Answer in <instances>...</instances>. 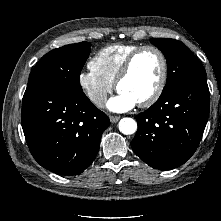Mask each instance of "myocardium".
Returning a JSON list of instances; mask_svg holds the SVG:
<instances>
[{
    "mask_svg": "<svg viewBox=\"0 0 221 221\" xmlns=\"http://www.w3.org/2000/svg\"><path fill=\"white\" fill-rule=\"evenodd\" d=\"M146 50L154 51L158 55V57L160 58L161 74H160L158 84H157L155 90L153 91V93L148 98H146L145 100L138 103L139 106H141V107H149V106L153 105L154 103H156L158 101V99L161 97V95L165 89L166 82H167V76H168V62H167L166 56L162 52V50L154 45H143V46L138 47L132 53H130L129 56L126 58L123 66H122L121 70L119 71V73L116 77V80H115L116 90L119 91L120 84L130 74L136 58L142 52H144Z\"/></svg>",
    "mask_w": 221,
    "mask_h": 221,
    "instance_id": "1",
    "label": "myocardium"
}]
</instances>
